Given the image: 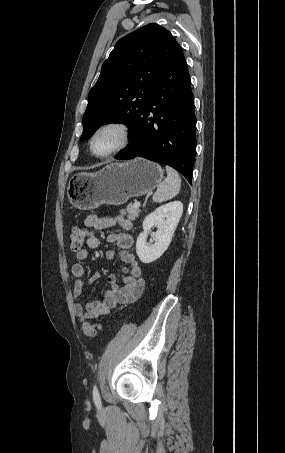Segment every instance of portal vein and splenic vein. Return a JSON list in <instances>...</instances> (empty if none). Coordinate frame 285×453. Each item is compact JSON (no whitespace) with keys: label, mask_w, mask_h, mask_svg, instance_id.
Returning a JSON list of instances; mask_svg holds the SVG:
<instances>
[{"label":"portal vein and splenic vein","mask_w":285,"mask_h":453,"mask_svg":"<svg viewBox=\"0 0 285 453\" xmlns=\"http://www.w3.org/2000/svg\"><path fill=\"white\" fill-rule=\"evenodd\" d=\"M134 206H135V207H140V202H135V203H134Z\"/></svg>","instance_id":"portal-vein-and-splenic-vein-1"}]
</instances>
